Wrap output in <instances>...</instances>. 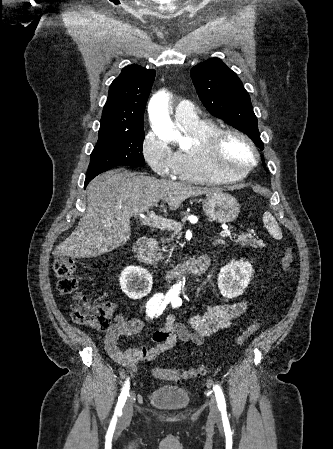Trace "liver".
Returning a JSON list of instances; mask_svg holds the SVG:
<instances>
[{
	"label": "liver",
	"mask_w": 333,
	"mask_h": 449,
	"mask_svg": "<svg viewBox=\"0 0 333 449\" xmlns=\"http://www.w3.org/2000/svg\"><path fill=\"white\" fill-rule=\"evenodd\" d=\"M213 192L217 190L127 173L122 169L107 171L88 185L86 213L54 254L90 258L110 252L129 240L132 216L147 212L161 200L173 211L187 198ZM161 207L166 214L167 210Z\"/></svg>",
	"instance_id": "obj_1"
}]
</instances>
